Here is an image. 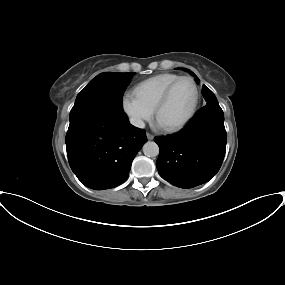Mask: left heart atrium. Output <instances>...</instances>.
Wrapping results in <instances>:
<instances>
[{
	"label": "left heart atrium",
	"mask_w": 285,
	"mask_h": 285,
	"mask_svg": "<svg viewBox=\"0 0 285 285\" xmlns=\"http://www.w3.org/2000/svg\"><path fill=\"white\" fill-rule=\"evenodd\" d=\"M158 126H159V127H163L159 122H158Z\"/></svg>",
	"instance_id": "1"
}]
</instances>
